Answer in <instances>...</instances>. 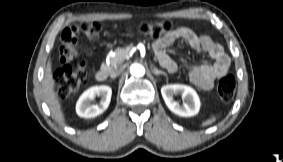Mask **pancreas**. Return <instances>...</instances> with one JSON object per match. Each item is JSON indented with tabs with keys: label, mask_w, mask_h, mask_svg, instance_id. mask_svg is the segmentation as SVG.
Wrapping results in <instances>:
<instances>
[{
	"label": "pancreas",
	"mask_w": 283,
	"mask_h": 162,
	"mask_svg": "<svg viewBox=\"0 0 283 162\" xmlns=\"http://www.w3.org/2000/svg\"><path fill=\"white\" fill-rule=\"evenodd\" d=\"M128 56V50L124 48H117L114 51V56H111L109 59L110 67L108 68L109 71H112L114 69H117L121 63L126 59Z\"/></svg>",
	"instance_id": "obj_1"
}]
</instances>
